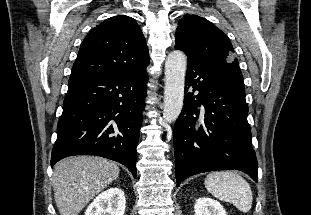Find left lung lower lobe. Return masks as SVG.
<instances>
[{"mask_svg": "<svg viewBox=\"0 0 311 215\" xmlns=\"http://www.w3.org/2000/svg\"><path fill=\"white\" fill-rule=\"evenodd\" d=\"M247 113L244 90L188 59L184 105L173 133L177 186L192 175L227 169L257 181Z\"/></svg>", "mask_w": 311, "mask_h": 215, "instance_id": "left-lung-lower-lobe-1", "label": "left lung lower lobe"}]
</instances>
